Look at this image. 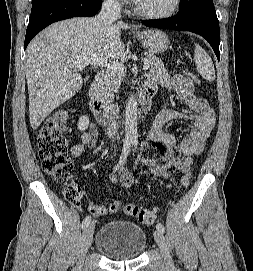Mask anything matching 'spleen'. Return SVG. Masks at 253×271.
Listing matches in <instances>:
<instances>
[{
  "instance_id": "obj_1",
  "label": "spleen",
  "mask_w": 253,
  "mask_h": 271,
  "mask_svg": "<svg viewBox=\"0 0 253 271\" xmlns=\"http://www.w3.org/2000/svg\"><path fill=\"white\" fill-rule=\"evenodd\" d=\"M194 60L199 74L208 81H214L215 69L212 59L198 44H195Z\"/></svg>"
}]
</instances>
